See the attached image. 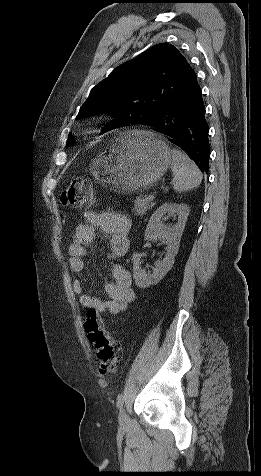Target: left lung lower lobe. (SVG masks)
<instances>
[{
	"label": "left lung lower lobe",
	"mask_w": 261,
	"mask_h": 476,
	"mask_svg": "<svg viewBox=\"0 0 261 476\" xmlns=\"http://www.w3.org/2000/svg\"><path fill=\"white\" fill-rule=\"evenodd\" d=\"M143 125L153 127L183 150L197 166L206 173L209 171V127L205 119V106L196 74L165 111L144 122Z\"/></svg>",
	"instance_id": "0a47b994"
}]
</instances>
